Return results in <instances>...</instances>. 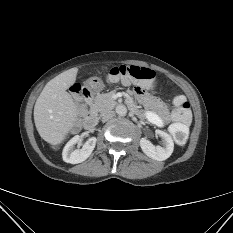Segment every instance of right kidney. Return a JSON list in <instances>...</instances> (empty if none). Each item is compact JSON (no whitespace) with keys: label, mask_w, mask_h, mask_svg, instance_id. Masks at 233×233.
I'll return each instance as SVG.
<instances>
[{"label":"right kidney","mask_w":233,"mask_h":233,"mask_svg":"<svg viewBox=\"0 0 233 233\" xmlns=\"http://www.w3.org/2000/svg\"><path fill=\"white\" fill-rule=\"evenodd\" d=\"M81 138L79 135L74 136L65 145L62 157L63 160L70 164H78L85 161L92 153L96 145V137L89 138L81 149H76L75 145L80 143Z\"/></svg>","instance_id":"1"}]
</instances>
